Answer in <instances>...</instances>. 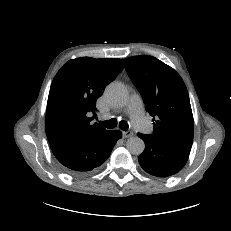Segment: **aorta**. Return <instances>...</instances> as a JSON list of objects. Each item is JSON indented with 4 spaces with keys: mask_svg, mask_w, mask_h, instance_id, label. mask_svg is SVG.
<instances>
[{
    "mask_svg": "<svg viewBox=\"0 0 231 231\" xmlns=\"http://www.w3.org/2000/svg\"><path fill=\"white\" fill-rule=\"evenodd\" d=\"M108 102L114 106H124L128 100V93L125 86L121 83H111L105 90ZM128 151L133 155H140L145 149L144 141L135 136L130 137L126 142Z\"/></svg>",
    "mask_w": 231,
    "mask_h": 231,
    "instance_id": "762f6f07",
    "label": "aorta"
}]
</instances>
